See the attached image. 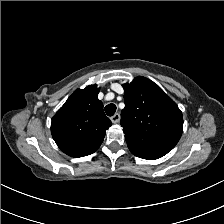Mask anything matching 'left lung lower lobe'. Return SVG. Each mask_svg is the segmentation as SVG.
Masks as SVG:
<instances>
[{"label":"left lung lower lobe","mask_w":224,"mask_h":224,"mask_svg":"<svg viewBox=\"0 0 224 224\" xmlns=\"http://www.w3.org/2000/svg\"><path fill=\"white\" fill-rule=\"evenodd\" d=\"M130 151L137 157L143 158V159H149V160H155L160 158V156H156V155H151V154H147L144 152H140V151H135L130 149Z\"/></svg>","instance_id":"1"}]
</instances>
